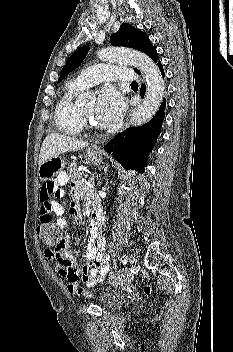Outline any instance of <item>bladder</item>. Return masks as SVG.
Segmentation results:
<instances>
[{
    "instance_id": "1",
    "label": "bladder",
    "mask_w": 233,
    "mask_h": 352,
    "mask_svg": "<svg viewBox=\"0 0 233 352\" xmlns=\"http://www.w3.org/2000/svg\"><path fill=\"white\" fill-rule=\"evenodd\" d=\"M124 297L121 293L113 289H104L100 295V303L103 308L116 310L124 304Z\"/></svg>"
}]
</instances>
